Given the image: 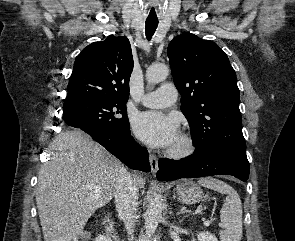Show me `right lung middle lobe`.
Returning <instances> with one entry per match:
<instances>
[{"instance_id":"obj_1","label":"right lung middle lobe","mask_w":295,"mask_h":241,"mask_svg":"<svg viewBox=\"0 0 295 241\" xmlns=\"http://www.w3.org/2000/svg\"><path fill=\"white\" fill-rule=\"evenodd\" d=\"M67 125L80 128L95 126L115 133L129 130L125 102H89L64 110Z\"/></svg>"}]
</instances>
